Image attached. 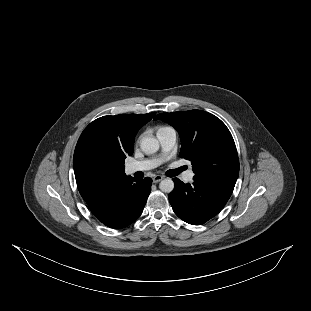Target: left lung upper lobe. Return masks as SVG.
<instances>
[{
	"label": "left lung upper lobe",
	"mask_w": 311,
	"mask_h": 311,
	"mask_svg": "<svg viewBox=\"0 0 311 311\" xmlns=\"http://www.w3.org/2000/svg\"><path fill=\"white\" fill-rule=\"evenodd\" d=\"M181 138L180 157L190 160L197 180L236 182L239 159L233 137L216 116L202 111L158 114Z\"/></svg>",
	"instance_id": "1"
}]
</instances>
